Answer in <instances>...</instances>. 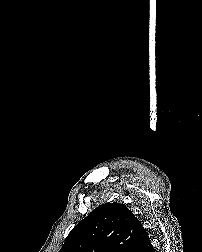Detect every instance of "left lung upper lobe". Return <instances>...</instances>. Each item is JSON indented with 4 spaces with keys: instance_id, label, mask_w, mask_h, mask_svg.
<instances>
[{
    "instance_id": "obj_1",
    "label": "left lung upper lobe",
    "mask_w": 202,
    "mask_h": 252,
    "mask_svg": "<svg viewBox=\"0 0 202 252\" xmlns=\"http://www.w3.org/2000/svg\"><path fill=\"white\" fill-rule=\"evenodd\" d=\"M140 226L125 205L102 204L72 229L59 252H133Z\"/></svg>"
}]
</instances>
